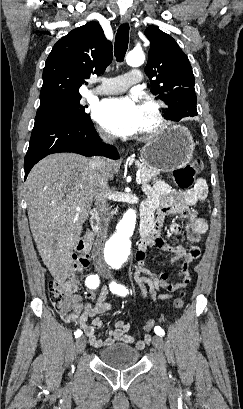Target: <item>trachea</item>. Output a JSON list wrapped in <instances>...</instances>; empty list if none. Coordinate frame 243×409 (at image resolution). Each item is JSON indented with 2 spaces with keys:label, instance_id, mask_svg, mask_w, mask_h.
Listing matches in <instances>:
<instances>
[{
  "label": "trachea",
  "instance_id": "trachea-1",
  "mask_svg": "<svg viewBox=\"0 0 243 409\" xmlns=\"http://www.w3.org/2000/svg\"><path fill=\"white\" fill-rule=\"evenodd\" d=\"M128 41L129 25L124 23L118 28L115 38L114 53L118 62H122L125 57V53L128 48Z\"/></svg>",
  "mask_w": 243,
  "mask_h": 409
}]
</instances>
